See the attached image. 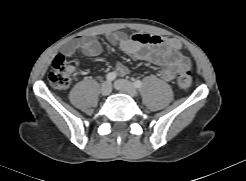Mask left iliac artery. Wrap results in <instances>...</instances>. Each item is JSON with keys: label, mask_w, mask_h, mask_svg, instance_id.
<instances>
[{"label": "left iliac artery", "mask_w": 246, "mask_h": 181, "mask_svg": "<svg viewBox=\"0 0 246 181\" xmlns=\"http://www.w3.org/2000/svg\"><path fill=\"white\" fill-rule=\"evenodd\" d=\"M134 87H135V88H141V87H142V82H141L140 80H136V81L134 82Z\"/></svg>", "instance_id": "44dca946"}]
</instances>
